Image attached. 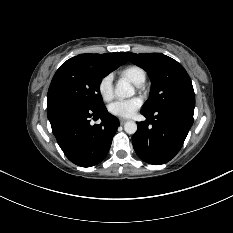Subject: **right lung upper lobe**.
<instances>
[{"label":"right lung upper lobe","mask_w":233,"mask_h":233,"mask_svg":"<svg viewBox=\"0 0 233 233\" xmlns=\"http://www.w3.org/2000/svg\"><path fill=\"white\" fill-rule=\"evenodd\" d=\"M72 58H81L89 61L106 64L112 67H119L126 62L124 52L108 53V54H81Z\"/></svg>","instance_id":"1"}]
</instances>
